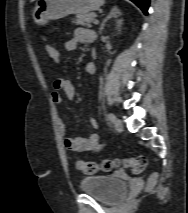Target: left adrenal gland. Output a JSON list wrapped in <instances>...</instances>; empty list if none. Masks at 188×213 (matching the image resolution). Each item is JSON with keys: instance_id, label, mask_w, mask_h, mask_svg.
I'll return each mask as SVG.
<instances>
[{"instance_id": "a2214340", "label": "left adrenal gland", "mask_w": 188, "mask_h": 213, "mask_svg": "<svg viewBox=\"0 0 188 213\" xmlns=\"http://www.w3.org/2000/svg\"><path fill=\"white\" fill-rule=\"evenodd\" d=\"M121 15V12L118 10L117 7H113L109 13V15L102 21L101 25H100V28H99V33L101 34L102 33V30L105 26V23L111 19V18H117L118 16Z\"/></svg>"}]
</instances>
